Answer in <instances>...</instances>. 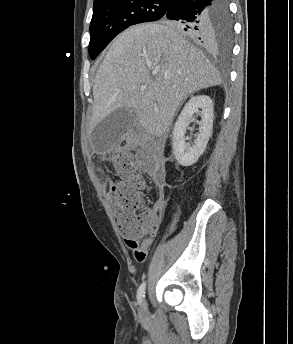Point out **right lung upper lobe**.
Here are the masks:
<instances>
[{
    "label": "right lung upper lobe",
    "mask_w": 293,
    "mask_h": 344,
    "mask_svg": "<svg viewBox=\"0 0 293 344\" xmlns=\"http://www.w3.org/2000/svg\"><path fill=\"white\" fill-rule=\"evenodd\" d=\"M103 1H112V0H94V5L100 3V2H103ZM211 45V44H209Z\"/></svg>",
    "instance_id": "cb5924a9"
}]
</instances>
